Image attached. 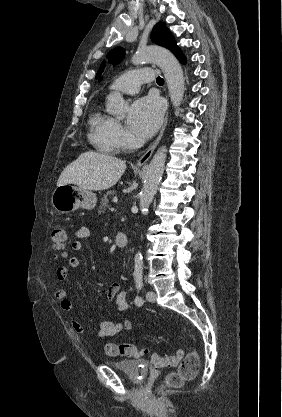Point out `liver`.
<instances>
[{"label": "liver", "instance_id": "6515ba94", "mask_svg": "<svg viewBox=\"0 0 282 417\" xmlns=\"http://www.w3.org/2000/svg\"><path fill=\"white\" fill-rule=\"evenodd\" d=\"M126 168L125 160L87 150L62 170L57 186L77 184L84 190H105L118 182Z\"/></svg>", "mask_w": 282, "mask_h": 417}]
</instances>
